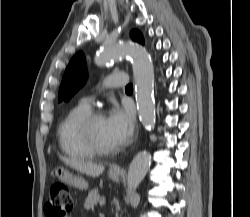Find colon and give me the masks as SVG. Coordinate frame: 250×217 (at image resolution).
<instances>
[{
	"label": "colon",
	"instance_id": "obj_1",
	"mask_svg": "<svg viewBox=\"0 0 250 217\" xmlns=\"http://www.w3.org/2000/svg\"><path fill=\"white\" fill-rule=\"evenodd\" d=\"M72 208L73 201L68 187L62 183L54 184L45 204L47 216L69 217Z\"/></svg>",
	"mask_w": 250,
	"mask_h": 217
}]
</instances>
